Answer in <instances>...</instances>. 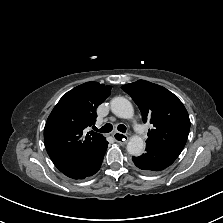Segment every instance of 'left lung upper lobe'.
<instances>
[{
  "label": "left lung upper lobe",
  "mask_w": 223,
  "mask_h": 223,
  "mask_svg": "<svg viewBox=\"0 0 223 223\" xmlns=\"http://www.w3.org/2000/svg\"><path fill=\"white\" fill-rule=\"evenodd\" d=\"M138 105L143 122L153 125L146 144L158 145L181 153L188 138L190 119L182 102L166 88L138 80L122 86Z\"/></svg>",
  "instance_id": "1"
}]
</instances>
